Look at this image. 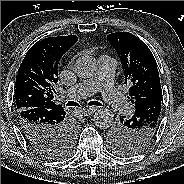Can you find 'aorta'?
<instances>
[{
	"label": "aorta",
	"mask_w": 184,
	"mask_h": 184,
	"mask_svg": "<svg viewBox=\"0 0 184 184\" xmlns=\"http://www.w3.org/2000/svg\"><path fill=\"white\" fill-rule=\"evenodd\" d=\"M97 60L92 56H81L75 62V72L80 78H90L97 70ZM94 124L100 129L109 128L114 121V114L108 108L98 109L93 117Z\"/></svg>",
	"instance_id": "aorta-1"
}]
</instances>
